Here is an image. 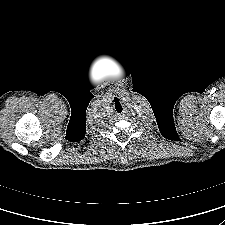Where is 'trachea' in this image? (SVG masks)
<instances>
[{"label":"trachea","instance_id":"3493384b","mask_svg":"<svg viewBox=\"0 0 225 225\" xmlns=\"http://www.w3.org/2000/svg\"><path fill=\"white\" fill-rule=\"evenodd\" d=\"M115 108L118 113H121L123 110L122 105L119 102H116Z\"/></svg>","mask_w":225,"mask_h":225}]
</instances>
